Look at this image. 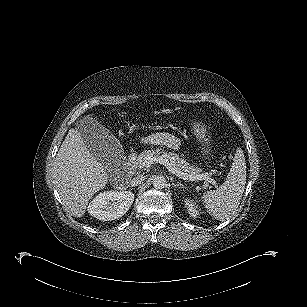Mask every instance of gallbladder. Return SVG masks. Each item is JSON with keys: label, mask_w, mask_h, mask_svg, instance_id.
I'll use <instances>...</instances> for the list:
<instances>
[{"label": "gallbladder", "mask_w": 307, "mask_h": 307, "mask_svg": "<svg viewBox=\"0 0 307 307\" xmlns=\"http://www.w3.org/2000/svg\"><path fill=\"white\" fill-rule=\"evenodd\" d=\"M83 141L90 153L102 164L107 165V170H112L114 161L122 156V146L118 140L101 124L87 121L81 130Z\"/></svg>", "instance_id": "gallbladder-1"}]
</instances>
